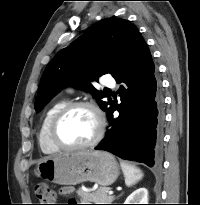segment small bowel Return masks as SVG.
Wrapping results in <instances>:
<instances>
[{"mask_svg": "<svg viewBox=\"0 0 200 205\" xmlns=\"http://www.w3.org/2000/svg\"><path fill=\"white\" fill-rule=\"evenodd\" d=\"M60 193L62 195H69L73 193V189L71 187H63L60 189Z\"/></svg>", "mask_w": 200, "mask_h": 205, "instance_id": "obj_1", "label": "small bowel"}]
</instances>
